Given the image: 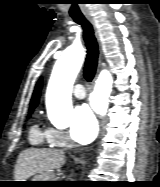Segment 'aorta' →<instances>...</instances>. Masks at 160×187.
<instances>
[{
  "label": "aorta",
  "instance_id": "762f6f07",
  "mask_svg": "<svg viewBox=\"0 0 160 187\" xmlns=\"http://www.w3.org/2000/svg\"><path fill=\"white\" fill-rule=\"evenodd\" d=\"M83 60V48L74 44L68 47L56 61L46 92L47 111L52 121L60 119L72 109V89ZM112 84L113 77L110 72L101 71L90 96V105L97 114H106Z\"/></svg>",
  "mask_w": 160,
  "mask_h": 187
}]
</instances>
